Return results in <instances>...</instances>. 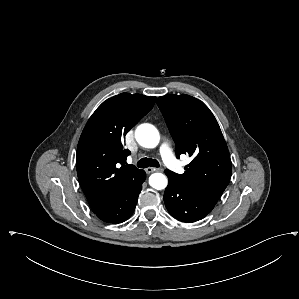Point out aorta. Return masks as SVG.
Here are the masks:
<instances>
[{"instance_id":"aorta-1","label":"aorta","mask_w":299,"mask_h":299,"mask_svg":"<svg viewBox=\"0 0 299 299\" xmlns=\"http://www.w3.org/2000/svg\"><path fill=\"white\" fill-rule=\"evenodd\" d=\"M135 138L139 145L145 148H154L158 145L160 136L158 130L151 124H141L135 131ZM168 184L166 176L162 173H153L149 177V185L157 190L165 189Z\"/></svg>"}]
</instances>
